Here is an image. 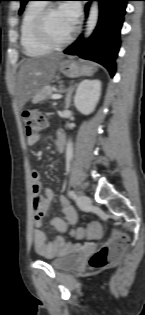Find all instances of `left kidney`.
<instances>
[{
	"instance_id": "obj_1",
	"label": "left kidney",
	"mask_w": 145,
	"mask_h": 315,
	"mask_svg": "<svg viewBox=\"0 0 145 315\" xmlns=\"http://www.w3.org/2000/svg\"><path fill=\"white\" fill-rule=\"evenodd\" d=\"M101 95V82L97 79L83 80L76 90L74 104L78 111L88 115L92 113L99 102Z\"/></svg>"
}]
</instances>
